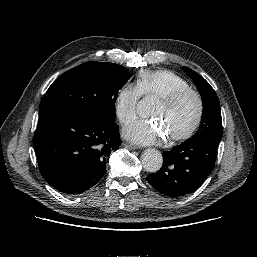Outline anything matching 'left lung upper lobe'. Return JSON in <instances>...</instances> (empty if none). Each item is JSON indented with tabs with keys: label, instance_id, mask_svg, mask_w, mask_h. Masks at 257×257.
<instances>
[{
	"label": "left lung upper lobe",
	"instance_id": "obj_1",
	"mask_svg": "<svg viewBox=\"0 0 257 257\" xmlns=\"http://www.w3.org/2000/svg\"><path fill=\"white\" fill-rule=\"evenodd\" d=\"M183 69L194 80L203 101L202 122L198 131L189 140L212 139L220 142L223 128L219 99L211 85L199 74L187 67Z\"/></svg>",
	"mask_w": 257,
	"mask_h": 257
}]
</instances>
